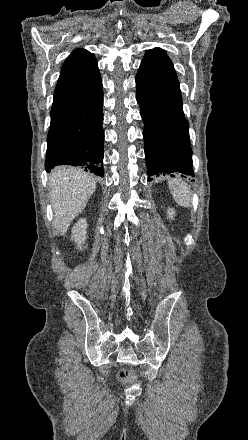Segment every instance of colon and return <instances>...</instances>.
Masks as SVG:
<instances>
[{"instance_id": "5ec220e1", "label": "colon", "mask_w": 248, "mask_h": 440, "mask_svg": "<svg viewBox=\"0 0 248 440\" xmlns=\"http://www.w3.org/2000/svg\"><path fill=\"white\" fill-rule=\"evenodd\" d=\"M129 375V371L128 370H120L118 372V378L119 379H124Z\"/></svg>"}]
</instances>
